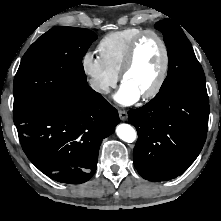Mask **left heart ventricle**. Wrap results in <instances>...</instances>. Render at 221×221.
<instances>
[{
    "instance_id": "1",
    "label": "left heart ventricle",
    "mask_w": 221,
    "mask_h": 221,
    "mask_svg": "<svg viewBox=\"0 0 221 221\" xmlns=\"http://www.w3.org/2000/svg\"><path fill=\"white\" fill-rule=\"evenodd\" d=\"M162 49L153 37L144 38L136 52L132 68L123 83L137 91L140 96L155 84L162 65Z\"/></svg>"
}]
</instances>
